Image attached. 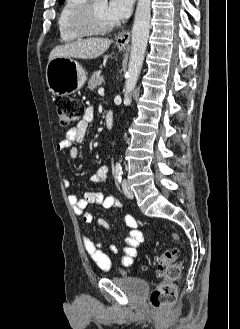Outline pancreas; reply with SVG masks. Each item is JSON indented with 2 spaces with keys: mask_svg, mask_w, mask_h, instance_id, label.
Wrapping results in <instances>:
<instances>
[{
  "mask_svg": "<svg viewBox=\"0 0 240 329\" xmlns=\"http://www.w3.org/2000/svg\"><path fill=\"white\" fill-rule=\"evenodd\" d=\"M104 82V77L100 75V72H94L88 81V88L94 90L97 86Z\"/></svg>",
  "mask_w": 240,
  "mask_h": 329,
  "instance_id": "1",
  "label": "pancreas"
}]
</instances>
